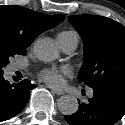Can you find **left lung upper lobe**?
<instances>
[{
    "mask_svg": "<svg viewBox=\"0 0 125 125\" xmlns=\"http://www.w3.org/2000/svg\"><path fill=\"white\" fill-rule=\"evenodd\" d=\"M69 22L84 45V64L79 82L92 88L125 85V27L98 15H72Z\"/></svg>",
    "mask_w": 125,
    "mask_h": 125,
    "instance_id": "5c2ea615",
    "label": "left lung upper lobe"
}]
</instances>
